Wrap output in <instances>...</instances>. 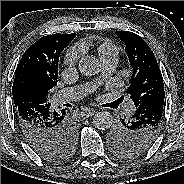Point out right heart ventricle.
Instances as JSON below:
<instances>
[{"instance_id":"right-heart-ventricle-1","label":"right heart ventricle","mask_w":184,"mask_h":184,"mask_svg":"<svg viewBox=\"0 0 184 184\" xmlns=\"http://www.w3.org/2000/svg\"><path fill=\"white\" fill-rule=\"evenodd\" d=\"M85 48V45H81ZM96 51L102 61L117 59L120 54V48L111 40L103 39L99 41L96 45Z\"/></svg>"}]
</instances>
